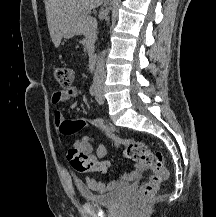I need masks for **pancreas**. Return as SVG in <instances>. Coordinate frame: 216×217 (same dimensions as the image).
<instances>
[{
	"instance_id": "cf45deb5",
	"label": "pancreas",
	"mask_w": 216,
	"mask_h": 217,
	"mask_svg": "<svg viewBox=\"0 0 216 217\" xmlns=\"http://www.w3.org/2000/svg\"><path fill=\"white\" fill-rule=\"evenodd\" d=\"M96 28V20L86 13L80 14L75 21V33L77 35H84L89 55L93 52L96 40Z\"/></svg>"
}]
</instances>
